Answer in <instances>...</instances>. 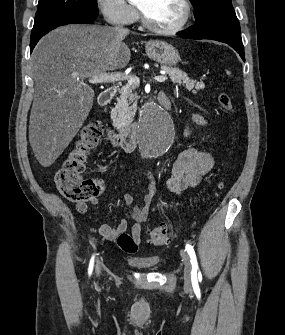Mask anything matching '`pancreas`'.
<instances>
[{"label": "pancreas", "mask_w": 285, "mask_h": 335, "mask_svg": "<svg viewBox=\"0 0 285 335\" xmlns=\"http://www.w3.org/2000/svg\"><path fill=\"white\" fill-rule=\"evenodd\" d=\"M161 70L167 72L170 76L173 84L178 86H184L189 92L197 94V90H203L205 88L203 82H197V80H190L186 72H182L179 68H167V66H161ZM120 98H117V104L112 105L111 110L113 114H110V120L114 125H129L130 122H134L136 117L132 114H136V106H130L134 100H137V94H133L132 86H123L120 90Z\"/></svg>", "instance_id": "obj_1"}]
</instances>
